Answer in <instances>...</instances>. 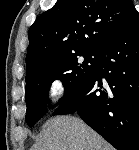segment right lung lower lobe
<instances>
[{"label":"right lung lower lobe","mask_w":139,"mask_h":150,"mask_svg":"<svg viewBox=\"0 0 139 150\" xmlns=\"http://www.w3.org/2000/svg\"><path fill=\"white\" fill-rule=\"evenodd\" d=\"M78 114L117 150H139V15L102 46L92 75L53 115Z\"/></svg>","instance_id":"98d812e1"}]
</instances>
